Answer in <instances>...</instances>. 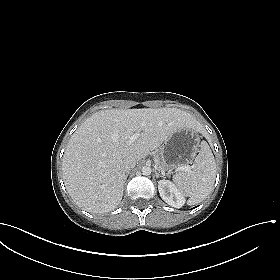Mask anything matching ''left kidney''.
<instances>
[{
    "label": "left kidney",
    "instance_id": "obj_1",
    "mask_svg": "<svg viewBox=\"0 0 280 280\" xmlns=\"http://www.w3.org/2000/svg\"><path fill=\"white\" fill-rule=\"evenodd\" d=\"M158 190L161 198L170 206L181 208L184 205L185 198L183 194L171 181L160 180L158 182Z\"/></svg>",
    "mask_w": 280,
    "mask_h": 280
}]
</instances>
